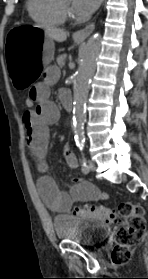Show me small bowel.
Masks as SVG:
<instances>
[{
	"label": "small bowel",
	"instance_id": "obj_1",
	"mask_svg": "<svg viewBox=\"0 0 148 279\" xmlns=\"http://www.w3.org/2000/svg\"><path fill=\"white\" fill-rule=\"evenodd\" d=\"M59 69L49 67L44 71L43 81L37 83L29 90V95L33 96L38 103L34 109H28L23 114V122L27 132L28 146L32 153L43 159L49 139V127L59 120V109L50 100V87L59 79ZM69 96L65 90L59 92L61 101ZM62 157L69 167L77 168L78 160L69 147L62 151ZM40 170L45 171L43 162ZM70 191H62L56 182L48 175H43L37 182L38 191L42 200L48 208L57 213H66L75 202L93 201L101 197V192L90 182L80 178H73Z\"/></svg>",
	"mask_w": 148,
	"mask_h": 279
}]
</instances>
